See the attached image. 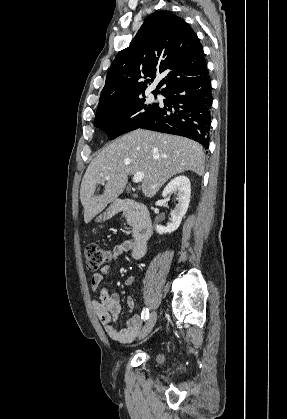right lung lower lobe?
Here are the masks:
<instances>
[{
	"mask_svg": "<svg viewBox=\"0 0 287 419\" xmlns=\"http://www.w3.org/2000/svg\"><path fill=\"white\" fill-rule=\"evenodd\" d=\"M212 87L208 72L177 84L162 95L163 105L139 127L184 136L209 147Z\"/></svg>",
	"mask_w": 287,
	"mask_h": 419,
	"instance_id": "98d812e1",
	"label": "right lung lower lobe"
}]
</instances>
